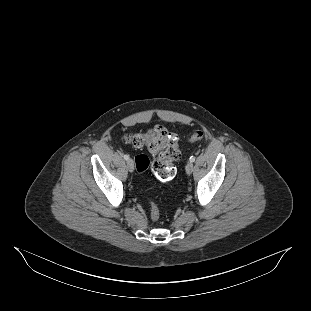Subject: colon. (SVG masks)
I'll return each mask as SVG.
<instances>
[{"instance_id": "obj_1", "label": "colon", "mask_w": 311, "mask_h": 311, "mask_svg": "<svg viewBox=\"0 0 311 311\" xmlns=\"http://www.w3.org/2000/svg\"><path fill=\"white\" fill-rule=\"evenodd\" d=\"M202 138L203 133L200 130H194L186 136L190 143L200 142ZM126 142L138 148L145 147L154 155L152 163L144 154L136 156V169L139 174L145 173L151 165L154 175L159 180L173 179L176 174L173 162L179 158V151L175 136L165 127L156 125L149 130L130 134L126 137ZM149 202L151 219L156 222L160 217L159 208L152 199H149Z\"/></svg>"}]
</instances>
